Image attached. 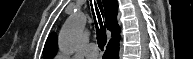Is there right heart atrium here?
Masks as SVG:
<instances>
[{"label":"right heart atrium","mask_w":193,"mask_h":59,"mask_svg":"<svg viewBox=\"0 0 193 59\" xmlns=\"http://www.w3.org/2000/svg\"><path fill=\"white\" fill-rule=\"evenodd\" d=\"M58 59H70V58H69L68 55L63 54V53H60V54L58 55Z\"/></svg>","instance_id":"obj_1"}]
</instances>
